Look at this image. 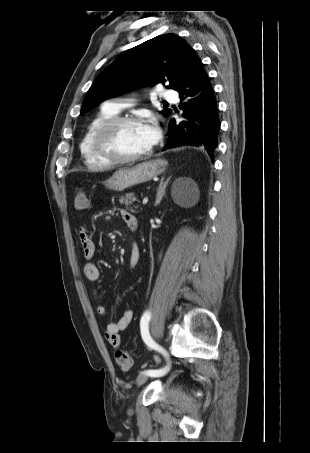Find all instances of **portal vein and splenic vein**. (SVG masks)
<instances>
[{"label": "portal vein and splenic vein", "instance_id": "obj_1", "mask_svg": "<svg viewBox=\"0 0 310 453\" xmlns=\"http://www.w3.org/2000/svg\"><path fill=\"white\" fill-rule=\"evenodd\" d=\"M147 202H148V198H147V197H145V198L143 199V205H146V204H147Z\"/></svg>", "mask_w": 310, "mask_h": 453}]
</instances>
